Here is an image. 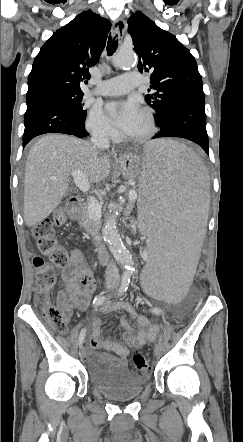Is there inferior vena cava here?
I'll return each instance as SVG.
<instances>
[{"label":"inferior vena cava","mask_w":243,"mask_h":442,"mask_svg":"<svg viewBox=\"0 0 243 442\" xmlns=\"http://www.w3.org/2000/svg\"><path fill=\"white\" fill-rule=\"evenodd\" d=\"M91 142L98 153H101L102 151L108 149L110 144L109 137L101 128L92 129ZM98 205L100 204L98 203ZM105 275L106 277L113 279H117L119 277L118 268L113 261L107 264Z\"/></svg>","instance_id":"obj_1"}]
</instances>
